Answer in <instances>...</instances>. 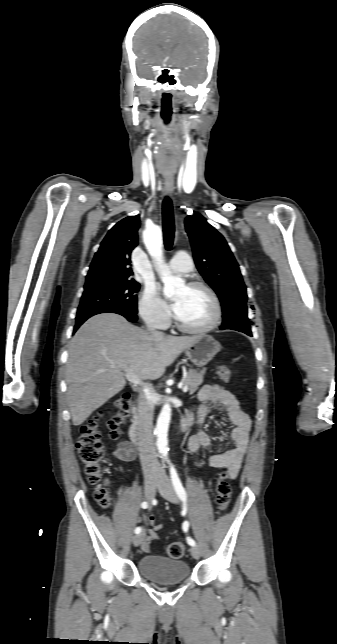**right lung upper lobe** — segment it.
Segmentation results:
<instances>
[{
	"label": "right lung upper lobe",
	"mask_w": 337,
	"mask_h": 644,
	"mask_svg": "<svg viewBox=\"0 0 337 644\" xmlns=\"http://www.w3.org/2000/svg\"><path fill=\"white\" fill-rule=\"evenodd\" d=\"M139 215L129 216L112 227L96 252L86 282L100 279L133 280L132 250L138 245Z\"/></svg>",
	"instance_id": "cb5924a9"
}]
</instances>
